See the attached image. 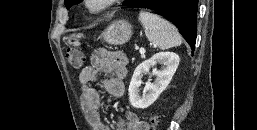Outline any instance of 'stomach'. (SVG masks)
Here are the masks:
<instances>
[{
  "label": "stomach",
  "instance_id": "obj_1",
  "mask_svg": "<svg viewBox=\"0 0 257 130\" xmlns=\"http://www.w3.org/2000/svg\"><path fill=\"white\" fill-rule=\"evenodd\" d=\"M132 36V25L126 20L113 21L101 34L105 42L112 45H120L129 41ZM82 35L72 33L66 36V42L69 46H77Z\"/></svg>",
  "mask_w": 257,
  "mask_h": 130
}]
</instances>
